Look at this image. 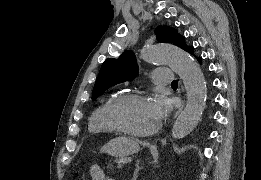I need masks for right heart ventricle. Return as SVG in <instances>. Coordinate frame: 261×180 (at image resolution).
<instances>
[{
  "mask_svg": "<svg viewBox=\"0 0 261 180\" xmlns=\"http://www.w3.org/2000/svg\"><path fill=\"white\" fill-rule=\"evenodd\" d=\"M118 95L116 92L109 93L92 111L88 121L87 131L88 133L102 134L101 138H91L92 140L104 142L115 137L107 124L105 112Z\"/></svg>",
  "mask_w": 261,
  "mask_h": 180,
  "instance_id": "e07e8e85",
  "label": "right heart ventricle"
}]
</instances>
